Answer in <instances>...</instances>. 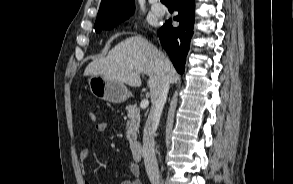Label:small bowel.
Masks as SVG:
<instances>
[{
    "label": "small bowel",
    "mask_w": 293,
    "mask_h": 184,
    "mask_svg": "<svg viewBox=\"0 0 293 184\" xmlns=\"http://www.w3.org/2000/svg\"><path fill=\"white\" fill-rule=\"evenodd\" d=\"M107 128V125L104 122H97L94 125V129L97 133H103L105 132ZM90 155V151L88 149H84L81 151L80 156H79V162H80V166L83 172H85L86 170V161L88 160ZM130 172L132 173V175L134 176V179L132 180H125L123 182H121V184H142V182L140 181L139 177V168L138 166L132 162L130 163L129 166ZM84 184H91L88 180H84Z\"/></svg>",
    "instance_id": "small-bowel-1"
}]
</instances>
